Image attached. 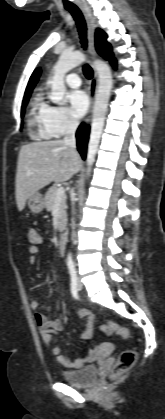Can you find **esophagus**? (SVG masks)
<instances>
[{"instance_id": "obj_1", "label": "esophagus", "mask_w": 165, "mask_h": 419, "mask_svg": "<svg viewBox=\"0 0 165 419\" xmlns=\"http://www.w3.org/2000/svg\"><path fill=\"white\" fill-rule=\"evenodd\" d=\"M80 8L84 12V15L88 22V38H89V48H90V54L92 59L94 60L97 57L96 49H95V30H96V23L95 20L90 13V11L84 6L80 4ZM93 69V78L89 85V97H90V106L88 113L85 117L84 122L89 123L92 117V109L95 101L97 86H98V75L95 67L92 65Z\"/></svg>"}]
</instances>
